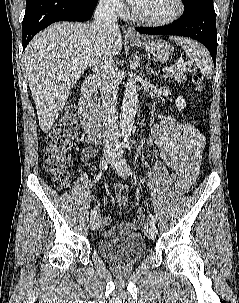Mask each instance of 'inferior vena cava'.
<instances>
[{"label": "inferior vena cava", "instance_id": "obj_1", "mask_svg": "<svg viewBox=\"0 0 239 303\" xmlns=\"http://www.w3.org/2000/svg\"><path fill=\"white\" fill-rule=\"evenodd\" d=\"M114 0H99L94 13V22L98 34L103 37L108 30L116 27L117 16ZM93 68L99 79L102 100L104 132L103 144L105 150H118L120 148L118 133L117 112V80L116 66L113 56L101 50L97 52L93 60Z\"/></svg>", "mask_w": 239, "mask_h": 303}]
</instances>
